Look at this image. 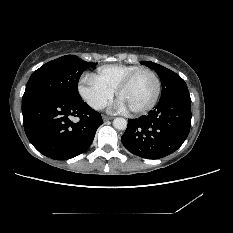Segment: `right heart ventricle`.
I'll use <instances>...</instances> for the list:
<instances>
[{"label": "right heart ventricle", "mask_w": 233, "mask_h": 233, "mask_svg": "<svg viewBox=\"0 0 233 233\" xmlns=\"http://www.w3.org/2000/svg\"><path fill=\"white\" fill-rule=\"evenodd\" d=\"M142 69V67L137 65H107L100 67L97 73L92 74L90 77L110 90L115 92L118 86L133 72Z\"/></svg>", "instance_id": "e07e8e85"}]
</instances>
